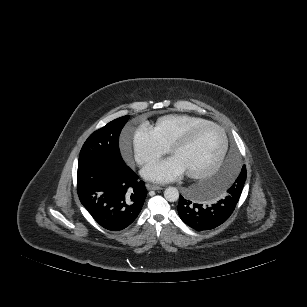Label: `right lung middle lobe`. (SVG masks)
Masks as SVG:
<instances>
[{
	"mask_svg": "<svg viewBox=\"0 0 307 307\" xmlns=\"http://www.w3.org/2000/svg\"><path fill=\"white\" fill-rule=\"evenodd\" d=\"M129 117L115 119L93 132L81 149L78 164L93 160H103L113 164L123 163L119 150V136Z\"/></svg>",
	"mask_w": 307,
	"mask_h": 307,
	"instance_id": "1",
	"label": "right lung middle lobe"
}]
</instances>
